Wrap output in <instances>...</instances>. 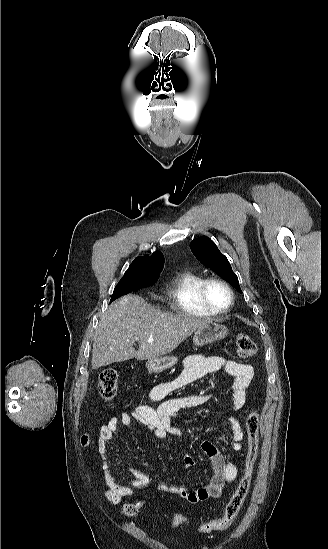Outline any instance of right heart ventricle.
<instances>
[{"label":"right heart ventricle","mask_w":328,"mask_h":549,"mask_svg":"<svg viewBox=\"0 0 328 549\" xmlns=\"http://www.w3.org/2000/svg\"><path fill=\"white\" fill-rule=\"evenodd\" d=\"M207 278L197 272L187 271L178 275L170 284L166 293V303H175L178 319H209L199 309L201 300L199 290Z\"/></svg>","instance_id":"e07e8e85"}]
</instances>
